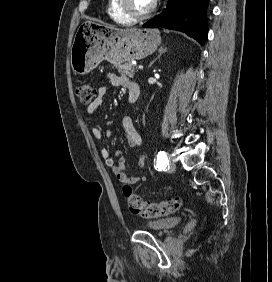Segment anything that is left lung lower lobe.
<instances>
[{"label": "left lung lower lobe", "instance_id": "left-lung-lower-lobe-1", "mask_svg": "<svg viewBox=\"0 0 272 282\" xmlns=\"http://www.w3.org/2000/svg\"><path fill=\"white\" fill-rule=\"evenodd\" d=\"M207 4L208 0H168L165 10L143 27H163L185 32L203 45L207 37Z\"/></svg>", "mask_w": 272, "mask_h": 282}]
</instances>
